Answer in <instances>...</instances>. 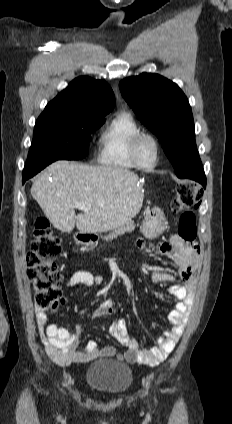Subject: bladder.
I'll list each match as a JSON object with an SVG mask.
<instances>
[{
  "label": "bladder",
  "mask_w": 232,
  "mask_h": 424,
  "mask_svg": "<svg viewBox=\"0 0 232 424\" xmlns=\"http://www.w3.org/2000/svg\"><path fill=\"white\" fill-rule=\"evenodd\" d=\"M132 380V369L124 362L114 359H102L91 363L85 374L86 384L107 396L123 394L129 389Z\"/></svg>",
  "instance_id": "31cf9c89"
}]
</instances>
